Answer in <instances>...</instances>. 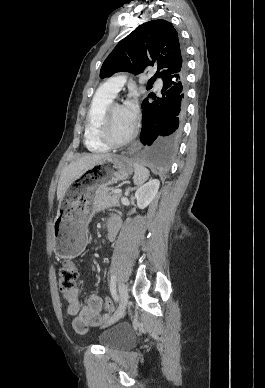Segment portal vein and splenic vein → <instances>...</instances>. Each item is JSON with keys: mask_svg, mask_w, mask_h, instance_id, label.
I'll return each instance as SVG.
<instances>
[{"mask_svg": "<svg viewBox=\"0 0 265 388\" xmlns=\"http://www.w3.org/2000/svg\"><path fill=\"white\" fill-rule=\"evenodd\" d=\"M113 194H121L122 190H112Z\"/></svg>", "mask_w": 265, "mask_h": 388, "instance_id": "18ae733b", "label": "portal vein and splenic vein"}]
</instances>
